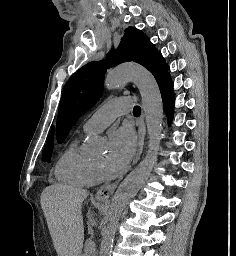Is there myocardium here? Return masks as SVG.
Listing matches in <instances>:
<instances>
[{
    "instance_id": "1",
    "label": "myocardium",
    "mask_w": 236,
    "mask_h": 256,
    "mask_svg": "<svg viewBox=\"0 0 236 256\" xmlns=\"http://www.w3.org/2000/svg\"><path fill=\"white\" fill-rule=\"evenodd\" d=\"M115 86L118 87V86H120V84H116Z\"/></svg>"
}]
</instances>
